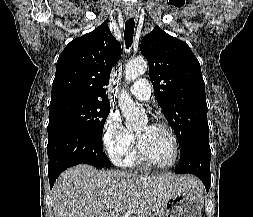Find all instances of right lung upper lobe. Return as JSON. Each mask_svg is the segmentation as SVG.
<instances>
[{"mask_svg": "<svg viewBox=\"0 0 253 217\" xmlns=\"http://www.w3.org/2000/svg\"><path fill=\"white\" fill-rule=\"evenodd\" d=\"M120 57L121 45L106 23L74 39L57 60L50 103L65 99L109 103L104 86Z\"/></svg>", "mask_w": 253, "mask_h": 217, "instance_id": "obj_1", "label": "right lung upper lobe"}]
</instances>
